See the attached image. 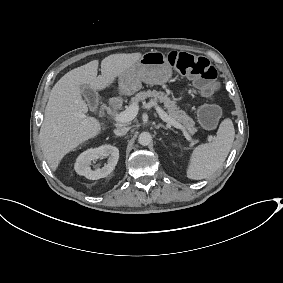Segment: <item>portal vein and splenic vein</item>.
Listing matches in <instances>:
<instances>
[{"label":"portal vein and splenic vein","mask_w":283,"mask_h":283,"mask_svg":"<svg viewBox=\"0 0 283 283\" xmlns=\"http://www.w3.org/2000/svg\"><path fill=\"white\" fill-rule=\"evenodd\" d=\"M137 112H138V108L135 105H132L120 113H113L111 115V119L118 123H127V122L132 121L136 117ZM160 116L163 119V121L167 122L168 126L173 125L176 129H179L184 133L189 132L187 127L184 124H181L178 121H175L174 119L166 115L165 112H160ZM213 139L214 138L212 135L207 136L208 141H212ZM196 142L199 143L200 140L197 139Z\"/></svg>","instance_id":"obj_1"}]
</instances>
